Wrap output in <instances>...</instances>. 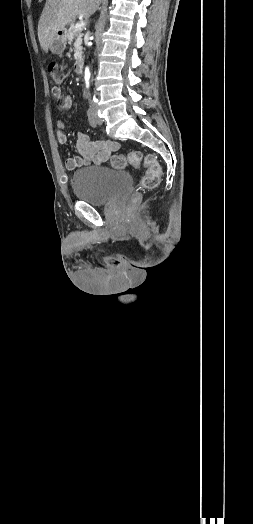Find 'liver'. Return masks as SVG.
Returning <instances> with one entry per match:
<instances>
[{"label":"liver","instance_id":"liver-1","mask_svg":"<svg viewBox=\"0 0 253 524\" xmlns=\"http://www.w3.org/2000/svg\"><path fill=\"white\" fill-rule=\"evenodd\" d=\"M101 0H46L38 23V39L47 52L58 31L77 16L90 17L98 9Z\"/></svg>","mask_w":253,"mask_h":524}]
</instances>
